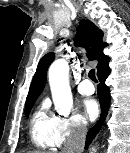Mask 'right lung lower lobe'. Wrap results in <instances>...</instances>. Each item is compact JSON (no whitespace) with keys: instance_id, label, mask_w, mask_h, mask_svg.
<instances>
[{"instance_id":"obj_1","label":"right lung lower lobe","mask_w":130,"mask_h":153,"mask_svg":"<svg viewBox=\"0 0 130 153\" xmlns=\"http://www.w3.org/2000/svg\"><path fill=\"white\" fill-rule=\"evenodd\" d=\"M110 68L109 66L105 67L100 73L97 74L98 79L100 81V84L98 85V97L100 100L101 105V115L98 122L89 130L87 137H86V143L85 148L87 149L100 128L102 127L105 118L108 113L109 105H110V89L105 84V81L110 74Z\"/></svg>"}]
</instances>
